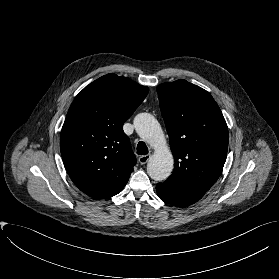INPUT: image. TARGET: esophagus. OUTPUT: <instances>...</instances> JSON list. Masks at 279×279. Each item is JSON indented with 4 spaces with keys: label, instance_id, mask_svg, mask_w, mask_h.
Instances as JSON below:
<instances>
[{
    "label": "esophagus",
    "instance_id": "esophagus-1",
    "mask_svg": "<svg viewBox=\"0 0 279 279\" xmlns=\"http://www.w3.org/2000/svg\"><path fill=\"white\" fill-rule=\"evenodd\" d=\"M150 159V155H143V156H140L138 161L141 165L143 164H146Z\"/></svg>",
    "mask_w": 279,
    "mask_h": 279
}]
</instances>
